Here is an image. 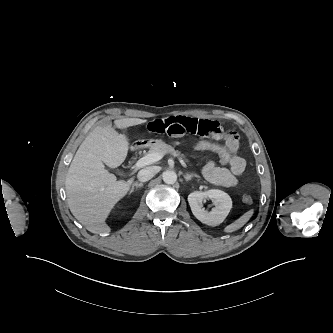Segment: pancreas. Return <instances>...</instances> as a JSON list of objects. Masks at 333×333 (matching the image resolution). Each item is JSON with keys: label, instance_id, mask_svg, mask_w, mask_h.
<instances>
[{"label": "pancreas", "instance_id": "obj_1", "mask_svg": "<svg viewBox=\"0 0 333 333\" xmlns=\"http://www.w3.org/2000/svg\"><path fill=\"white\" fill-rule=\"evenodd\" d=\"M156 152L163 153L164 155L170 153L173 156H180L181 158H185V156L181 154L180 151L175 150L173 147L164 142H156L150 147L149 154Z\"/></svg>", "mask_w": 333, "mask_h": 333}]
</instances>
